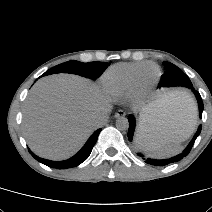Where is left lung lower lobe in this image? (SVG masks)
<instances>
[{"label": "left lung lower lobe", "instance_id": "0a47b994", "mask_svg": "<svg viewBox=\"0 0 212 212\" xmlns=\"http://www.w3.org/2000/svg\"><path fill=\"white\" fill-rule=\"evenodd\" d=\"M188 88L192 90V92L195 94V97L197 98V103H198V106H199V117L202 118V112H203V108H204L202 98H201L199 92L196 91L193 88V86L188 87ZM128 121H129L128 139H129V141H132L134 130H135V117L133 115H129ZM201 128H202V126L200 125L196 134L194 135L193 139L191 140L189 145L186 147V149L183 151V153H181V154H179L175 157H172V158H169V159H160L159 160V159H152L150 157L145 158L141 153H138V155L143 157V159L146 160V163H149V164L155 165V166H165L167 164L177 162V161L181 160L183 157H185L190 152L196 138L198 137V135L201 132Z\"/></svg>", "mask_w": 212, "mask_h": 212}]
</instances>
